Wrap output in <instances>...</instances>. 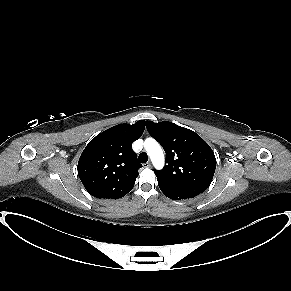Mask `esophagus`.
I'll return each mask as SVG.
<instances>
[{
    "label": "esophagus",
    "mask_w": 291,
    "mask_h": 291,
    "mask_svg": "<svg viewBox=\"0 0 291 291\" xmlns=\"http://www.w3.org/2000/svg\"><path fill=\"white\" fill-rule=\"evenodd\" d=\"M143 166L145 168H150L151 167V163L150 162L144 163Z\"/></svg>",
    "instance_id": "34e87169"
}]
</instances>
